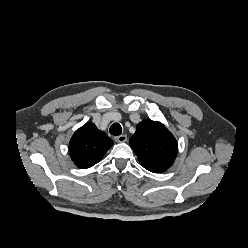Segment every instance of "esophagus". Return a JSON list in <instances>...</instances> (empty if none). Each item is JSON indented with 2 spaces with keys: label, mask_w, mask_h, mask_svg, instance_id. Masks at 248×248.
<instances>
[{
  "label": "esophagus",
  "mask_w": 248,
  "mask_h": 248,
  "mask_svg": "<svg viewBox=\"0 0 248 248\" xmlns=\"http://www.w3.org/2000/svg\"><path fill=\"white\" fill-rule=\"evenodd\" d=\"M114 140L118 143L126 142L127 141V136L126 135H119L114 138Z\"/></svg>",
  "instance_id": "esophagus-1"
}]
</instances>
